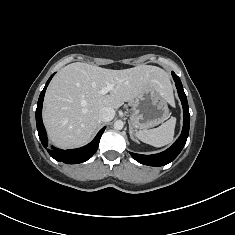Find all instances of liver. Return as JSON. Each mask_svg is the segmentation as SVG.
<instances>
[{"label": "liver", "instance_id": "obj_1", "mask_svg": "<svg viewBox=\"0 0 235 235\" xmlns=\"http://www.w3.org/2000/svg\"><path fill=\"white\" fill-rule=\"evenodd\" d=\"M108 84L114 89L100 94ZM151 87L173 102L169 76L159 67L112 70L82 62L65 66L51 81L44 98L43 122L50 141L63 149L85 145L101 124L102 107L118 109Z\"/></svg>", "mask_w": 235, "mask_h": 235}]
</instances>
